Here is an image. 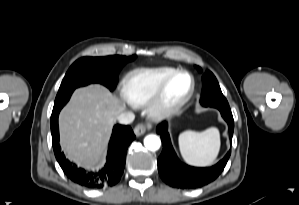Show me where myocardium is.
<instances>
[{"instance_id": "f54148a6", "label": "myocardium", "mask_w": 299, "mask_h": 205, "mask_svg": "<svg viewBox=\"0 0 299 205\" xmlns=\"http://www.w3.org/2000/svg\"><path fill=\"white\" fill-rule=\"evenodd\" d=\"M180 76H187L190 86L187 92L178 99L171 100L168 96L169 88ZM195 91V79L191 73L185 70L175 71L157 89L149 101V115L154 120H161L180 110L192 97Z\"/></svg>"}]
</instances>
